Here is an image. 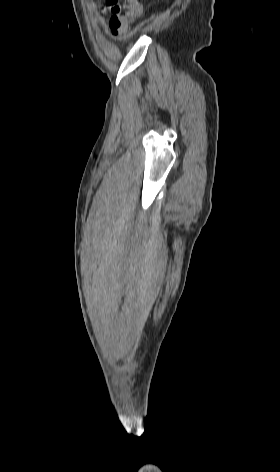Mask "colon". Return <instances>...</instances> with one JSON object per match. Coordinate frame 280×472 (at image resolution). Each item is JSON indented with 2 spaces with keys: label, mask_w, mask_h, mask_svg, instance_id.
I'll return each mask as SVG.
<instances>
[{
  "label": "colon",
  "mask_w": 280,
  "mask_h": 472,
  "mask_svg": "<svg viewBox=\"0 0 280 472\" xmlns=\"http://www.w3.org/2000/svg\"><path fill=\"white\" fill-rule=\"evenodd\" d=\"M103 1V10L111 15L110 22L116 27L132 23L142 12L139 0H124L123 5L120 4L119 0Z\"/></svg>",
  "instance_id": "colon-1"
}]
</instances>
